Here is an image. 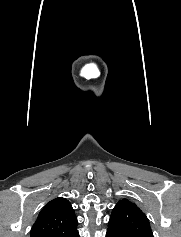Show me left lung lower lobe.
I'll list each match as a JSON object with an SVG mask.
<instances>
[{
  "label": "left lung lower lobe",
  "instance_id": "obj_1",
  "mask_svg": "<svg viewBox=\"0 0 181 237\" xmlns=\"http://www.w3.org/2000/svg\"><path fill=\"white\" fill-rule=\"evenodd\" d=\"M106 237H116V236L112 235V234H109V233H106Z\"/></svg>",
  "mask_w": 181,
  "mask_h": 237
}]
</instances>
